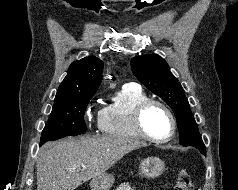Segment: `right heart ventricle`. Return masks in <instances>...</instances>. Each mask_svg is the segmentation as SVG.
Returning a JSON list of instances; mask_svg holds the SVG:
<instances>
[{"label": "right heart ventricle", "mask_w": 238, "mask_h": 190, "mask_svg": "<svg viewBox=\"0 0 238 190\" xmlns=\"http://www.w3.org/2000/svg\"><path fill=\"white\" fill-rule=\"evenodd\" d=\"M148 99L138 86H123L98 114V127L102 134L122 139L140 140L133 123V113L138 104Z\"/></svg>", "instance_id": "e07e8e85"}]
</instances>
